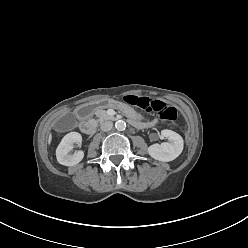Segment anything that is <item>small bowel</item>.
Wrapping results in <instances>:
<instances>
[{"label":"small bowel","mask_w":248,"mask_h":248,"mask_svg":"<svg viewBox=\"0 0 248 248\" xmlns=\"http://www.w3.org/2000/svg\"><path fill=\"white\" fill-rule=\"evenodd\" d=\"M154 123H155V121H153V122L149 123V125H153Z\"/></svg>","instance_id":"small-bowel-1"}]
</instances>
